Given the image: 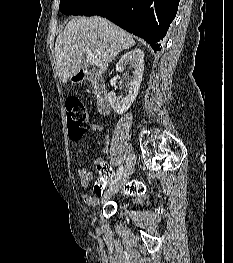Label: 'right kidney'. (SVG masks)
<instances>
[{"label":"right kidney","mask_w":233,"mask_h":263,"mask_svg":"<svg viewBox=\"0 0 233 263\" xmlns=\"http://www.w3.org/2000/svg\"><path fill=\"white\" fill-rule=\"evenodd\" d=\"M127 65L134 69L133 74L128 77V95L125 97L117 96L114 91L108 94L110 105L117 114H123L127 111L138 95L144 71V52L141 49H134L125 53L116 64V71H123ZM116 79V77H113L110 80L111 86L116 85Z\"/></svg>","instance_id":"ca27d5eb"}]
</instances>
